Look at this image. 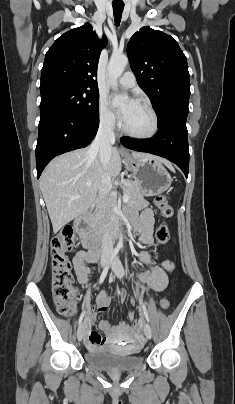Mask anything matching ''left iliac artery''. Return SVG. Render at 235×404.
I'll use <instances>...</instances> for the list:
<instances>
[{
  "label": "left iliac artery",
  "instance_id": "obj_1",
  "mask_svg": "<svg viewBox=\"0 0 235 404\" xmlns=\"http://www.w3.org/2000/svg\"><path fill=\"white\" fill-rule=\"evenodd\" d=\"M140 304H141V306H142L144 316H145L146 320L149 322L148 312H147L146 307H145V305H144V303H143L142 300H140Z\"/></svg>",
  "mask_w": 235,
  "mask_h": 404
}]
</instances>
